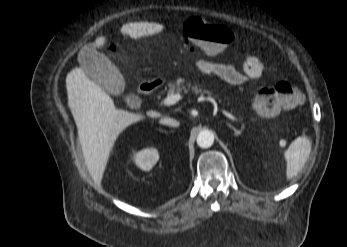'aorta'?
<instances>
[{
	"label": "aorta",
	"instance_id": "762f6f07",
	"mask_svg": "<svg viewBox=\"0 0 347 247\" xmlns=\"http://www.w3.org/2000/svg\"><path fill=\"white\" fill-rule=\"evenodd\" d=\"M214 143V135L209 130L201 131L197 136V144L201 148H209Z\"/></svg>",
	"mask_w": 347,
	"mask_h": 247
}]
</instances>
